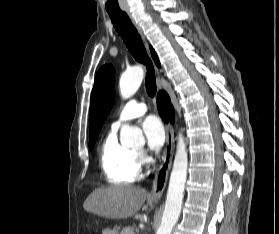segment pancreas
<instances>
[{"instance_id":"pancreas-1","label":"pancreas","mask_w":279,"mask_h":234,"mask_svg":"<svg viewBox=\"0 0 279 234\" xmlns=\"http://www.w3.org/2000/svg\"><path fill=\"white\" fill-rule=\"evenodd\" d=\"M120 234H134V229L131 226L126 227L120 232Z\"/></svg>"}]
</instances>
